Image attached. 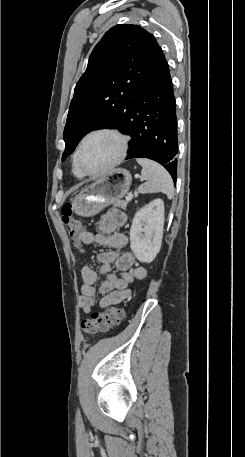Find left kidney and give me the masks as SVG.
I'll list each match as a JSON object with an SVG mask.
<instances>
[{
  "label": "left kidney",
  "mask_w": 245,
  "mask_h": 457,
  "mask_svg": "<svg viewBox=\"0 0 245 457\" xmlns=\"http://www.w3.org/2000/svg\"><path fill=\"white\" fill-rule=\"evenodd\" d=\"M164 226V202L155 198L137 210L130 229V247L140 263H152L160 251Z\"/></svg>",
  "instance_id": "left-kidney-1"
}]
</instances>
